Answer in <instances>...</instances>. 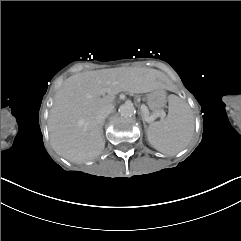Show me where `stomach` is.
<instances>
[{"label":"stomach","instance_id":"obj_1","mask_svg":"<svg viewBox=\"0 0 241 241\" xmlns=\"http://www.w3.org/2000/svg\"><path fill=\"white\" fill-rule=\"evenodd\" d=\"M147 104L153 111L161 110L166 105V93L164 90H155L147 95Z\"/></svg>","mask_w":241,"mask_h":241}]
</instances>
